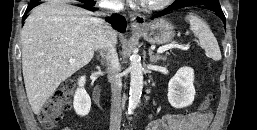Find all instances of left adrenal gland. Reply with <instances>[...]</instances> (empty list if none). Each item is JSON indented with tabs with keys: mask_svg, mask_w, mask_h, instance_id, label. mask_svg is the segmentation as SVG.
Listing matches in <instances>:
<instances>
[{
	"mask_svg": "<svg viewBox=\"0 0 257 130\" xmlns=\"http://www.w3.org/2000/svg\"><path fill=\"white\" fill-rule=\"evenodd\" d=\"M149 60H150L151 63H155L159 60L165 61L166 57L160 56V55H154L153 51L151 49H149Z\"/></svg>",
	"mask_w": 257,
	"mask_h": 130,
	"instance_id": "obj_1",
	"label": "left adrenal gland"
}]
</instances>
